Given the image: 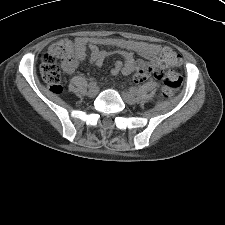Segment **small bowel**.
<instances>
[{
    "instance_id": "1",
    "label": "small bowel",
    "mask_w": 225,
    "mask_h": 225,
    "mask_svg": "<svg viewBox=\"0 0 225 225\" xmlns=\"http://www.w3.org/2000/svg\"><path fill=\"white\" fill-rule=\"evenodd\" d=\"M76 45V61L72 64L64 65L67 73H73L78 64L87 58V49L90 51L89 60L96 66H102L104 61L111 55L110 52L102 50L99 45L117 46L120 49L117 54L120 59L116 60L110 70L111 76L118 74L129 75L136 72L143 60H136L133 52L139 54L143 59L150 62H157L160 53V47L156 44L136 42L132 45L125 44L117 39L111 38H87L78 37L75 39Z\"/></svg>"
}]
</instances>
